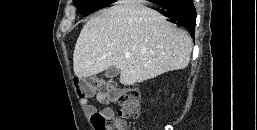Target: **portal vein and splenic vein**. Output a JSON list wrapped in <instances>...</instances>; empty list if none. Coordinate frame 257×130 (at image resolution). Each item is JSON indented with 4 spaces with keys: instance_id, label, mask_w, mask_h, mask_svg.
<instances>
[{
    "instance_id": "1",
    "label": "portal vein and splenic vein",
    "mask_w": 257,
    "mask_h": 130,
    "mask_svg": "<svg viewBox=\"0 0 257 130\" xmlns=\"http://www.w3.org/2000/svg\"><path fill=\"white\" fill-rule=\"evenodd\" d=\"M130 56H131L130 53H126V54H125V57H126V58H129Z\"/></svg>"
}]
</instances>
